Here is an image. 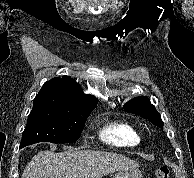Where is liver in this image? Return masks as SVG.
I'll list each match as a JSON object with an SVG mask.
<instances>
[{
	"label": "liver",
	"instance_id": "1",
	"mask_svg": "<svg viewBox=\"0 0 194 178\" xmlns=\"http://www.w3.org/2000/svg\"><path fill=\"white\" fill-rule=\"evenodd\" d=\"M138 167L136 161L106 151H40L28 163L22 178H102L116 171Z\"/></svg>",
	"mask_w": 194,
	"mask_h": 178
}]
</instances>
